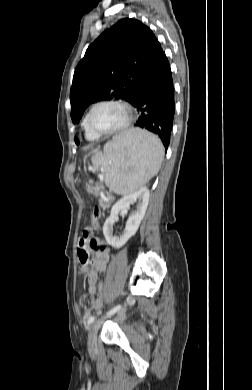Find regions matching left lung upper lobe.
I'll use <instances>...</instances> for the list:
<instances>
[{"mask_svg": "<svg viewBox=\"0 0 252 390\" xmlns=\"http://www.w3.org/2000/svg\"><path fill=\"white\" fill-rule=\"evenodd\" d=\"M161 52L153 32L138 20L124 18L105 30L75 69L70 91L73 123L97 101L122 99L131 103L142 77Z\"/></svg>", "mask_w": 252, "mask_h": 390, "instance_id": "left-lung-upper-lobe-1", "label": "left lung upper lobe"}]
</instances>
